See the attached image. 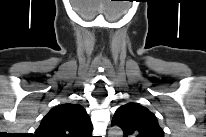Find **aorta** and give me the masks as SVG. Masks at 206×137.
<instances>
[{
	"instance_id": "1",
	"label": "aorta",
	"mask_w": 206,
	"mask_h": 137,
	"mask_svg": "<svg viewBox=\"0 0 206 137\" xmlns=\"http://www.w3.org/2000/svg\"><path fill=\"white\" fill-rule=\"evenodd\" d=\"M122 134V130L118 127H114L109 131V137H120Z\"/></svg>"
}]
</instances>
